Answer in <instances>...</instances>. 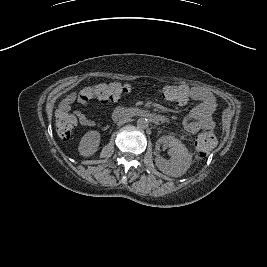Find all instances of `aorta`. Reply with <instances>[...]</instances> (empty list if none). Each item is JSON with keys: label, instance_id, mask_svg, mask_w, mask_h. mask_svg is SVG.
I'll use <instances>...</instances> for the list:
<instances>
[{"label": "aorta", "instance_id": "obj_1", "mask_svg": "<svg viewBox=\"0 0 267 267\" xmlns=\"http://www.w3.org/2000/svg\"><path fill=\"white\" fill-rule=\"evenodd\" d=\"M149 125V121L146 118H139L137 120V128L139 129H146Z\"/></svg>", "mask_w": 267, "mask_h": 267}]
</instances>
